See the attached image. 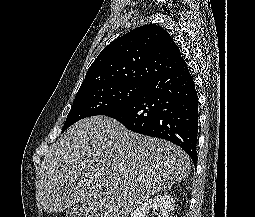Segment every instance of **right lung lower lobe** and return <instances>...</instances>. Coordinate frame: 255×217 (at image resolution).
Returning <instances> with one entry per match:
<instances>
[{
	"instance_id": "obj_1",
	"label": "right lung lower lobe",
	"mask_w": 255,
	"mask_h": 217,
	"mask_svg": "<svg viewBox=\"0 0 255 217\" xmlns=\"http://www.w3.org/2000/svg\"><path fill=\"white\" fill-rule=\"evenodd\" d=\"M104 115L131 131L177 144L197 163L198 97L187 65L158 77L133 102Z\"/></svg>"
}]
</instances>
